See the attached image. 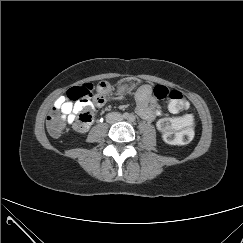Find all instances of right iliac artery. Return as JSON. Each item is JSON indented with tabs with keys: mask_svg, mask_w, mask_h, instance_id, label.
Instances as JSON below:
<instances>
[{
	"mask_svg": "<svg viewBox=\"0 0 243 243\" xmlns=\"http://www.w3.org/2000/svg\"><path fill=\"white\" fill-rule=\"evenodd\" d=\"M123 117H124L125 119H127V118H129V114H128V113H124V114H123Z\"/></svg>",
	"mask_w": 243,
	"mask_h": 243,
	"instance_id": "obj_1",
	"label": "right iliac artery"
}]
</instances>
